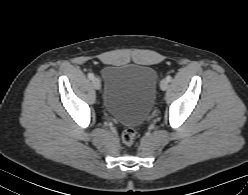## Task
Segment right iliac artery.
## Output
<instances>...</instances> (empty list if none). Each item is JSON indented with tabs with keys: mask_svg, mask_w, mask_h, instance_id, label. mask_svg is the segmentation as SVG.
<instances>
[{
	"mask_svg": "<svg viewBox=\"0 0 248 195\" xmlns=\"http://www.w3.org/2000/svg\"><path fill=\"white\" fill-rule=\"evenodd\" d=\"M88 78L90 79V80H93L95 77H94V74H92V73H89L88 74Z\"/></svg>",
	"mask_w": 248,
	"mask_h": 195,
	"instance_id": "right-iliac-artery-1",
	"label": "right iliac artery"
}]
</instances>
